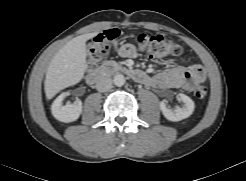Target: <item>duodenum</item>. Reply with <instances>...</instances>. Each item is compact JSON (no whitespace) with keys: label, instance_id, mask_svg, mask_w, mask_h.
Instances as JSON below:
<instances>
[{"label":"duodenum","instance_id":"1","mask_svg":"<svg viewBox=\"0 0 246 181\" xmlns=\"http://www.w3.org/2000/svg\"><path fill=\"white\" fill-rule=\"evenodd\" d=\"M115 69L123 74L130 76L137 82H144L147 79V75L139 70L131 69L126 66H117ZM112 68L110 66L92 71L87 77V83L92 86H100L105 82L106 75Z\"/></svg>","mask_w":246,"mask_h":181}]
</instances>
